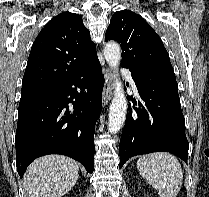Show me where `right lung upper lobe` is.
Listing matches in <instances>:
<instances>
[{"mask_svg": "<svg viewBox=\"0 0 209 197\" xmlns=\"http://www.w3.org/2000/svg\"><path fill=\"white\" fill-rule=\"evenodd\" d=\"M97 58L96 46L82 17L63 12L48 22L35 39L23 76L22 92L57 84Z\"/></svg>", "mask_w": 209, "mask_h": 197, "instance_id": "cb5924a9", "label": "right lung upper lobe"}]
</instances>
